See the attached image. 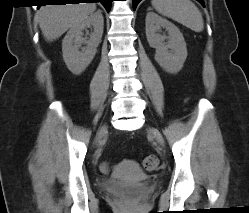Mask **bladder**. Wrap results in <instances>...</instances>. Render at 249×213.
Returning a JSON list of instances; mask_svg holds the SVG:
<instances>
[{
    "label": "bladder",
    "mask_w": 249,
    "mask_h": 213,
    "mask_svg": "<svg viewBox=\"0 0 249 213\" xmlns=\"http://www.w3.org/2000/svg\"><path fill=\"white\" fill-rule=\"evenodd\" d=\"M102 187L109 192L127 195H138L149 190V186L144 183H130L115 179L104 180Z\"/></svg>",
    "instance_id": "1"
}]
</instances>
